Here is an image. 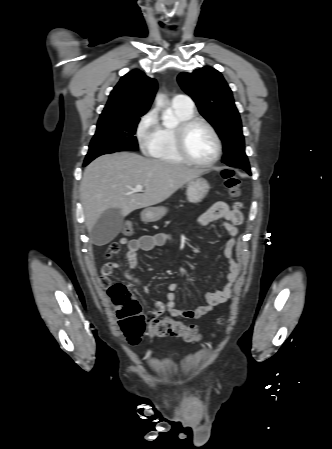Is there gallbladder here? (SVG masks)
I'll return each instance as SVG.
<instances>
[{
  "instance_id": "gallbladder-1",
  "label": "gallbladder",
  "mask_w": 332,
  "mask_h": 449,
  "mask_svg": "<svg viewBox=\"0 0 332 449\" xmlns=\"http://www.w3.org/2000/svg\"><path fill=\"white\" fill-rule=\"evenodd\" d=\"M123 216L119 209L111 208L104 211L94 224L90 233L92 242L102 246L112 241L120 232Z\"/></svg>"
}]
</instances>
